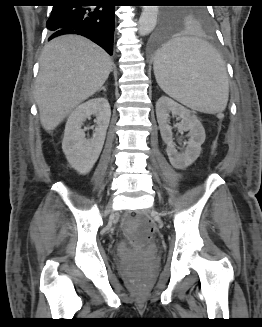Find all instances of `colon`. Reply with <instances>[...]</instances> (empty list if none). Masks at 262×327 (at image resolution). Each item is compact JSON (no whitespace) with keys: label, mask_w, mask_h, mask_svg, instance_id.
I'll return each mask as SVG.
<instances>
[{"label":"colon","mask_w":262,"mask_h":327,"mask_svg":"<svg viewBox=\"0 0 262 327\" xmlns=\"http://www.w3.org/2000/svg\"><path fill=\"white\" fill-rule=\"evenodd\" d=\"M124 228L132 241L138 244L148 242L153 234L152 222L144 214H130L124 223Z\"/></svg>","instance_id":"5ec220e1"}]
</instances>
